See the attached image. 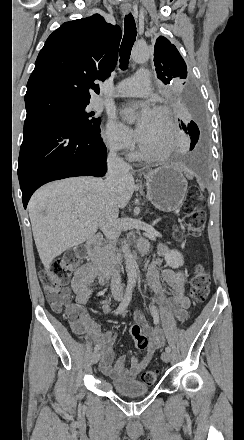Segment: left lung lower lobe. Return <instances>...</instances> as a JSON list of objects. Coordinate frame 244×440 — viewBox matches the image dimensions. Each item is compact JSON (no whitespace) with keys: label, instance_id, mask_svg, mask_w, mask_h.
Wrapping results in <instances>:
<instances>
[{"label":"left lung lower lobe","instance_id":"0a47b994","mask_svg":"<svg viewBox=\"0 0 244 440\" xmlns=\"http://www.w3.org/2000/svg\"><path fill=\"white\" fill-rule=\"evenodd\" d=\"M182 104V111L187 119V124L184 125L182 122V128L189 134L191 143L190 150H193L198 142L200 131L198 128V123L200 121V110L197 99L193 92L188 91L184 93L180 101Z\"/></svg>","mask_w":244,"mask_h":440}]
</instances>
